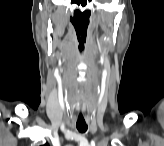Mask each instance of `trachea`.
Wrapping results in <instances>:
<instances>
[{
	"mask_svg": "<svg viewBox=\"0 0 164 146\" xmlns=\"http://www.w3.org/2000/svg\"><path fill=\"white\" fill-rule=\"evenodd\" d=\"M76 127H77L78 131L81 133H84L87 131V124L84 120L77 121Z\"/></svg>",
	"mask_w": 164,
	"mask_h": 146,
	"instance_id": "obj_1",
	"label": "trachea"
}]
</instances>
